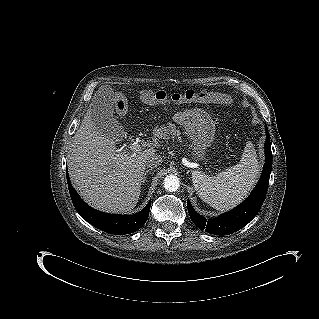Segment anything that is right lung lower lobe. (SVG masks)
Segmentation results:
<instances>
[{"mask_svg": "<svg viewBox=\"0 0 319 319\" xmlns=\"http://www.w3.org/2000/svg\"><path fill=\"white\" fill-rule=\"evenodd\" d=\"M70 196L77 212L94 227L114 235L129 234L140 229L148 219L151 201L134 215H115L88 206L73 189L66 170Z\"/></svg>", "mask_w": 319, "mask_h": 319, "instance_id": "98d812e1", "label": "right lung lower lobe"}]
</instances>
